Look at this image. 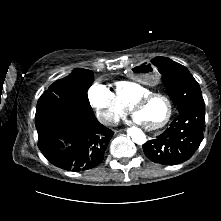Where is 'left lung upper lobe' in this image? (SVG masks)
Wrapping results in <instances>:
<instances>
[{"instance_id": "1", "label": "left lung upper lobe", "mask_w": 221, "mask_h": 221, "mask_svg": "<svg viewBox=\"0 0 221 221\" xmlns=\"http://www.w3.org/2000/svg\"><path fill=\"white\" fill-rule=\"evenodd\" d=\"M152 63L162 74L168 94L179 112L195 105H204L199 84L186 67L165 57H156Z\"/></svg>"}]
</instances>
